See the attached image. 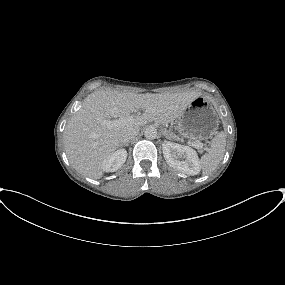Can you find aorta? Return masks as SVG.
<instances>
[{
  "instance_id": "762f6f07",
  "label": "aorta",
  "mask_w": 285,
  "mask_h": 285,
  "mask_svg": "<svg viewBox=\"0 0 285 285\" xmlns=\"http://www.w3.org/2000/svg\"><path fill=\"white\" fill-rule=\"evenodd\" d=\"M144 136L147 138V139H155L157 137V130L155 127H148L145 129L144 131Z\"/></svg>"
}]
</instances>
